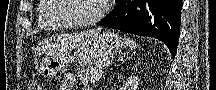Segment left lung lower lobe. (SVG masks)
I'll use <instances>...</instances> for the list:
<instances>
[{"mask_svg":"<svg viewBox=\"0 0 216 90\" xmlns=\"http://www.w3.org/2000/svg\"><path fill=\"white\" fill-rule=\"evenodd\" d=\"M117 7L98 26L163 41L173 58L177 52L182 0H117Z\"/></svg>","mask_w":216,"mask_h":90,"instance_id":"1","label":"left lung lower lobe"}]
</instances>
